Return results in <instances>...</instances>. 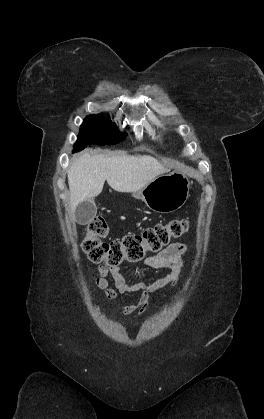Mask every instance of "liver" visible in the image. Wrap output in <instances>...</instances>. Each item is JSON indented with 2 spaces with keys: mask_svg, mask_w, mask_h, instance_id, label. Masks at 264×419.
Returning <instances> with one entry per match:
<instances>
[{
  "mask_svg": "<svg viewBox=\"0 0 264 419\" xmlns=\"http://www.w3.org/2000/svg\"><path fill=\"white\" fill-rule=\"evenodd\" d=\"M168 171L149 155L106 157L86 151L73 160L68 170L71 212L80 203L97 197L105 181L117 192H136Z\"/></svg>",
  "mask_w": 264,
  "mask_h": 419,
  "instance_id": "liver-1",
  "label": "liver"
}]
</instances>
